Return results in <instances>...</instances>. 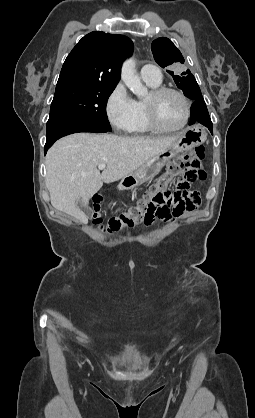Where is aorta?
Wrapping results in <instances>:
<instances>
[{"mask_svg":"<svg viewBox=\"0 0 255 418\" xmlns=\"http://www.w3.org/2000/svg\"><path fill=\"white\" fill-rule=\"evenodd\" d=\"M121 79L125 85L138 97H145L148 94L147 88L141 83L136 73L135 61L127 59L121 68Z\"/></svg>","mask_w":255,"mask_h":418,"instance_id":"aorta-1","label":"aorta"}]
</instances>
